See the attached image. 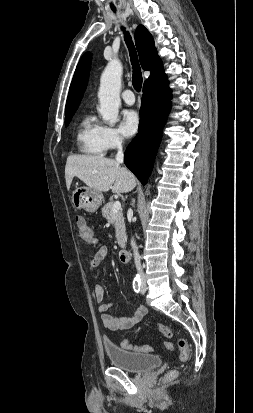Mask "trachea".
I'll return each mask as SVG.
<instances>
[{
	"label": "trachea",
	"instance_id": "obj_1",
	"mask_svg": "<svg viewBox=\"0 0 253 413\" xmlns=\"http://www.w3.org/2000/svg\"><path fill=\"white\" fill-rule=\"evenodd\" d=\"M124 33H125V42L129 49L131 64L133 68V75H132L133 87L137 92H140L141 87H142V73H141V68H140L139 61H138L137 52H136L135 46L133 44V41L129 33L128 32H124Z\"/></svg>",
	"mask_w": 253,
	"mask_h": 413
}]
</instances>
